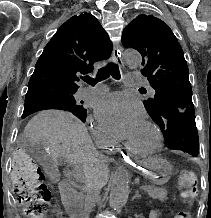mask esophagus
Instances as JSON below:
<instances>
[{
    "instance_id": "1",
    "label": "esophagus",
    "mask_w": 211,
    "mask_h": 218,
    "mask_svg": "<svg viewBox=\"0 0 211 218\" xmlns=\"http://www.w3.org/2000/svg\"><path fill=\"white\" fill-rule=\"evenodd\" d=\"M121 46L116 44L113 48L112 58L119 66H123V61L121 59ZM119 155L117 156L118 160H124L128 172H142V164L139 163L138 159H133L132 152L130 148H123V146H118Z\"/></svg>"
}]
</instances>
